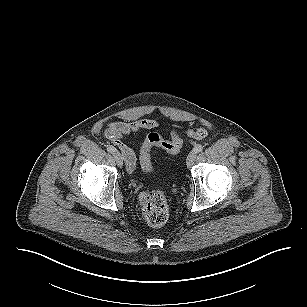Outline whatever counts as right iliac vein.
<instances>
[{
	"instance_id": "right-iliac-vein-1",
	"label": "right iliac vein",
	"mask_w": 307,
	"mask_h": 307,
	"mask_svg": "<svg viewBox=\"0 0 307 307\" xmlns=\"http://www.w3.org/2000/svg\"><path fill=\"white\" fill-rule=\"evenodd\" d=\"M113 155H114V158H115L117 165L119 167H122L123 166V156L121 155V153L116 151V152L113 153Z\"/></svg>"
}]
</instances>
